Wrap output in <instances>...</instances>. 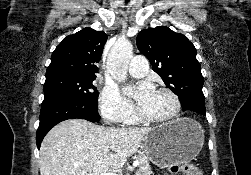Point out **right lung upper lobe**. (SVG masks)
Returning <instances> with one entry per match:
<instances>
[{"mask_svg": "<svg viewBox=\"0 0 251 175\" xmlns=\"http://www.w3.org/2000/svg\"><path fill=\"white\" fill-rule=\"evenodd\" d=\"M106 41V33L91 28L65 37L52 53L46 77H96L97 66L94 63L99 62Z\"/></svg>", "mask_w": 251, "mask_h": 175, "instance_id": "obj_1", "label": "right lung upper lobe"}]
</instances>
